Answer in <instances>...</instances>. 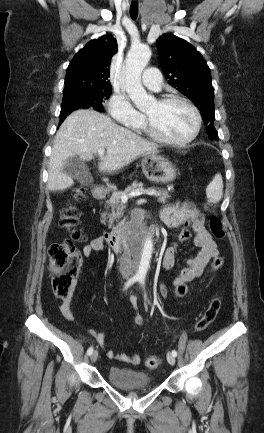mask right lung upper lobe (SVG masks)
<instances>
[{
    "label": "right lung upper lobe",
    "mask_w": 264,
    "mask_h": 433,
    "mask_svg": "<svg viewBox=\"0 0 264 433\" xmlns=\"http://www.w3.org/2000/svg\"><path fill=\"white\" fill-rule=\"evenodd\" d=\"M117 50L116 39L111 35L94 39L82 48L67 68L64 97L111 87L110 60Z\"/></svg>",
    "instance_id": "1"
}]
</instances>
